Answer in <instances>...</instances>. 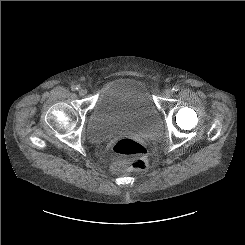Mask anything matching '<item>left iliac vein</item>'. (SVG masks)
Instances as JSON below:
<instances>
[{"mask_svg":"<svg viewBox=\"0 0 245 245\" xmlns=\"http://www.w3.org/2000/svg\"><path fill=\"white\" fill-rule=\"evenodd\" d=\"M172 94H173V90H172V89H167V90L165 91V96H166V97H170V96H172Z\"/></svg>","mask_w":245,"mask_h":245,"instance_id":"left-iliac-vein-1","label":"left iliac vein"}]
</instances>
